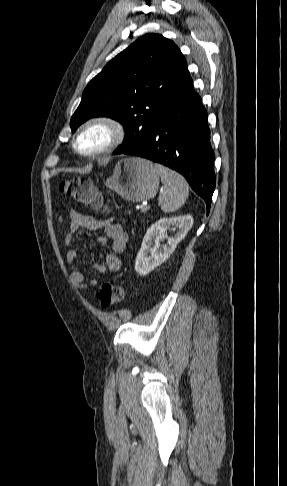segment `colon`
Wrapping results in <instances>:
<instances>
[{
    "label": "colon",
    "instance_id": "colon-1",
    "mask_svg": "<svg viewBox=\"0 0 287 486\" xmlns=\"http://www.w3.org/2000/svg\"><path fill=\"white\" fill-rule=\"evenodd\" d=\"M60 192L74 201L88 206L93 210H103V197L94 182L85 177L64 180L59 185ZM103 308H109L122 301L124 289L120 285L106 283L96 293Z\"/></svg>",
    "mask_w": 287,
    "mask_h": 486
}]
</instances>
